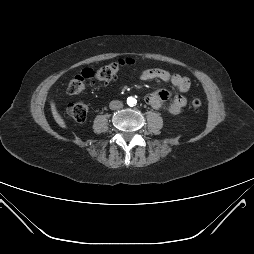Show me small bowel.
Here are the masks:
<instances>
[{"label": "small bowel", "instance_id": "1", "mask_svg": "<svg viewBox=\"0 0 254 254\" xmlns=\"http://www.w3.org/2000/svg\"><path fill=\"white\" fill-rule=\"evenodd\" d=\"M140 79L143 81L159 80L171 84L178 92L185 93L190 89L191 82L189 78L179 74H172L167 70L160 68L146 69L140 73ZM170 99L169 112L172 114H179L186 106V98L177 93L167 90H158L148 94L145 101L154 109L163 107L164 102Z\"/></svg>", "mask_w": 254, "mask_h": 254}]
</instances>
